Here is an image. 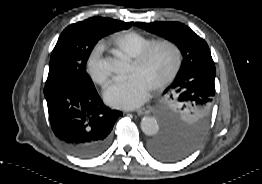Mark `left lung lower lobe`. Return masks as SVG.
<instances>
[{
    "mask_svg": "<svg viewBox=\"0 0 262 184\" xmlns=\"http://www.w3.org/2000/svg\"><path fill=\"white\" fill-rule=\"evenodd\" d=\"M147 149L155 159L162 162L180 161L194 151L186 143L171 139L164 132L150 141Z\"/></svg>",
    "mask_w": 262,
    "mask_h": 184,
    "instance_id": "left-lung-lower-lobe-1",
    "label": "left lung lower lobe"
}]
</instances>
